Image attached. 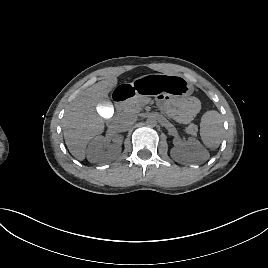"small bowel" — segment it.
<instances>
[{"mask_svg":"<svg viewBox=\"0 0 268 268\" xmlns=\"http://www.w3.org/2000/svg\"><path fill=\"white\" fill-rule=\"evenodd\" d=\"M160 105L171 118L181 124L190 123L200 110V102L195 97L184 99L160 97Z\"/></svg>","mask_w":268,"mask_h":268,"instance_id":"obj_1","label":"small bowel"}]
</instances>
